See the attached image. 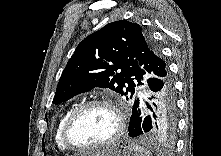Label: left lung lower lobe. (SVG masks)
Here are the masks:
<instances>
[{
	"label": "left lung lower lobe",
	"mask_w": 221,
	"mask_h": 156,
	"mask_svg": "<svg viewBox=\"0 0 221 156\" xmlns=\"http://www.w3.org/2000/svg\"><path fill=\"white\" fill-rule=\"evenodd\" d=\"M176 124V95L169 69L152 71L144 79L141 97L134 100L129 136L173 137Z\"/></svg>",
	"instance_id": "obj_1"
}]
</instances>
